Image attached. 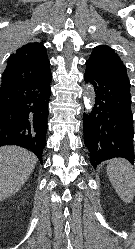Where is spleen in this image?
<instances>
[{
    "mask_svg": "<svg viewBox=\"0 0 135 249\" xmlns=\"http://www.w3.org/2000/svg\"><path fill=\"white\" fill-rule=\"evenodd\" d=\"M106 170L121 200L131 203L135 196V172L131 164L123 158H115L107 163Z\"/></svg>",
    "mask_w": 135,
    "mask_h": 249,
    "instance_id": "obj_1",
    "label": "spleen"
}]
</instances>
